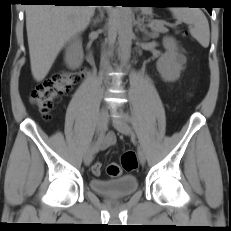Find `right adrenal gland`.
I'll return each instance as SVG.
<instances>
[{
	"instance_id": "2a0ac1e0",
	"label": "right adrenal gland",
	"mask_w": 231,
	"mask_h": 231,
	"mask_svg": "<svg viewBox=\"0 0 231 231\" xmlns=\"http://www.w3.org/2000/svg\"><path fill=\"white\" fill-rule=\"evenodd\" d=\"M100 15L97 16L95 19H92L93 26H96L98 23H100L103 20L104 13L101 9H99Z\"/></svg>"
}]
</instances>
